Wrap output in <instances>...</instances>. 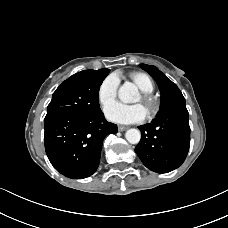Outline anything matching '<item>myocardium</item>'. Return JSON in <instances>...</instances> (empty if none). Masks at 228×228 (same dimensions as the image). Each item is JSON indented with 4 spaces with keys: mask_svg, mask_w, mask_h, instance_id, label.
I'll return each instance as SVG.
<instances>
[{
    "mask_svg": "<svg viewBox=\"0 0 228 228\" xmlns=\"http://www.w3.org/2000/svg\"><path fill=\"white\" fill-rule=\"evenodd\" d=\"M141 101L145 105L149 114L154 115L158 112L160 107L159 102L151 93L143 92L141 95Z\"/></svg>",
    "mask_w": 228,
    "mask_h": 228,
    "instance_id": "1",
    "label": "myocardium"
}]
</instances>
